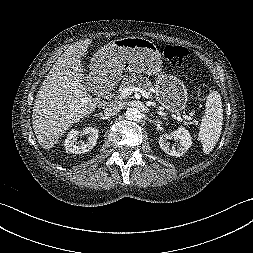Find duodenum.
Instances as JSON below:
<instances>
[{"instance_id": "duodenum-1", "label": "duodenum", "mask_w": 253, "mask_h": 253, "mask_svg": "<svg viewBox=\"0 0 253 253\" xmlns=\"http://www.w3.org/2000/svg\"><path fill=\"white\" fill-rule=\"evenodd\" d=\"M111 98H112L111 92L109 90H105L100 96V101L106 104L111 100Z\"/></svg>"}]
</instances>
